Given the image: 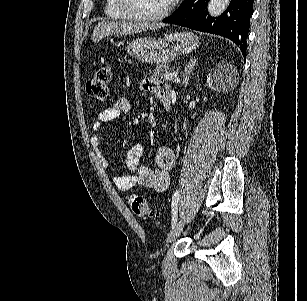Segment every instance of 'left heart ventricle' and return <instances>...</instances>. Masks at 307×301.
<instances>
[{
    "label": "left heart ventricle",
    "mask_w": 307,
    "mask_h": 301,
    "mask_svg": "<svg viewBox=\"0 0 307 301\" xmlns=\"http://www.w3.org/2000/svg\"><path fill=\"white\" fill-rule=\"evenodd\" d=\"M131 7H127V13H154V11H161L163 0H134L128 1ZM142 5V6H139Z\"/></svg>",
    "instance_id": "b2bd125f"
}]
</instances>
